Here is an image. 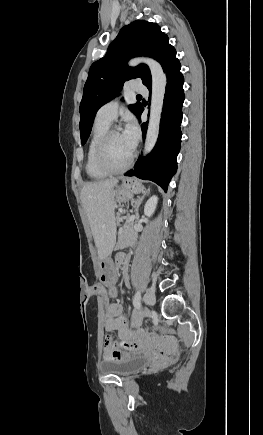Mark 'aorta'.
<instances>
[{"label":"aorta","instance_id":"762f6f07","mask_svg":"<svg viewBox=\"0 0 263 435\" xmlns=\"http://www.w3.org/2000/svg\"><path fill=\"white\" fill-rule=\"evenodd\" d=\"M140 62H144L149 66L152 76L150 117L144 145V155H146L155 146L159 135L167 79L161 65L151 58H136L131 60L129 65L135 66Z\"/></svg>","mask_w":263,"mask_h":435}]
</instances>
